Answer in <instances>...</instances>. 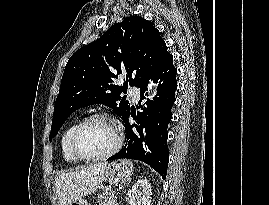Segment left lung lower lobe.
Returning a JSON list of instances; mask_svg holds the SVG:
<instances>
[{"label":"left lung lower lobe","instance_id":"1","mask_svg":"<svg viewBox=\"0 0 269 205\" xmlns=\"http://www.w3.org/2000/svg\"><path fill=\"white\" fill-rule=\"evenodd\" d=\"M177 69L173 65V56L169 54L152 78L158 83L154 100H148L140 106L142 112L137 115L130 110L122 119L125 123L127 143L117 154L108 160L121 158L140 160L155 169L162 178H166L168 167L167 127L172 118V107L175 102ZM148 84V83H147ZM147 84L140 88L141 99H144ZM132 115L135 123L130 125L128 118Z\"/></svg>","mask_w":269,"mask_h":205}]
</instances>
